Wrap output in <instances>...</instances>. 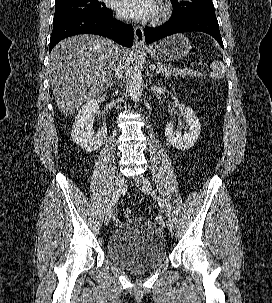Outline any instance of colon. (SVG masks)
Returning <instances> with one entry per match:
<instances>
[{
  "mask_svg": "<svg viewBox=\"0 0 272 303\" xmlns=\"http://www.w3.org/2000/svg\"><path fill=\"white\" fill-rule=\"evenodd\" d=\"M172 72L174 76L181 78H195L205 76V73L203 71L186 66H175ZM123 213L125 217H130L131 215V211L129 209H125Z\"/></svg>",
  "mask_w": 272,
  "mask_h": 303,
  "instance_id": "1",
  "label": "colon"
}]
</instances>
